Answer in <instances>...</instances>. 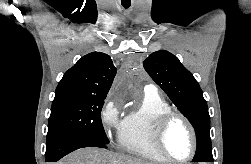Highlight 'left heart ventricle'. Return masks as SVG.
I'll return each mask as SVG.
<instances>
[{
    "label": "left heart ventricle",
    "instance_id": "1",
    "mask_svg": "<svg viewBox=\"0 0 251 164\" xmlns=\"http://www.w3.org/2000/svg\"><path fill=\"white\" fill-rule=\"evenodd\" d=\"M165 147L175 158H185L191 153V135L180 119H175L170 124L165 135Z\"/></svg>",
    "mask_w": 251,
    "mask_h": 164
}]
</instances>
